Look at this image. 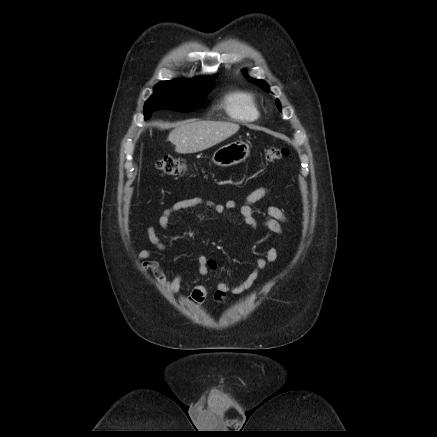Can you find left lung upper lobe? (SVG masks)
<instances>
[{
    "label": "left lung upper lobe",
    "mask_w": 437,
    "mask_h": 437,
    "mask_svg": "<svg viewBox=\"0 0 437 437\" xmlns=\"http://www.w3.org/2000/svg\"><path fill=\"white\" fill-rule=\"evenodd\" d=\"M248 80H249L250 82H252V83H254V84H256V85L262 87L265 91L269 92V87H268V85H267L264 81H262V80H258V79H250V78H248ZM276 104H277V107H278L279 109H281V108H280V103H279L278 100L276 101Z\"/></svg>",
    "instance_id": "1"
}]
</instances>
